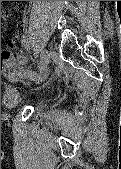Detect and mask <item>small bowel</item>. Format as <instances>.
<instances>
[{
	"mask_svg": "<svg viewBox=\"0 0 121 169\" xmlns=\"http://www.w3.org/2000/svg\"><path fill=\"white\" fill-rule=\"evenodd\" d=\"M26 58L21 55H12L8 49L2 51L1 74L10 80H19L28 77L31 70L24 69Z\"/></svg>",
	"mask_w": 121,
	"mask_h": 169,
	"instance_id": "small-bowel-1",
	"label": "small bowel"
}]
</instances>
